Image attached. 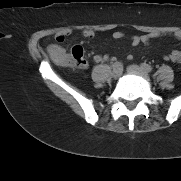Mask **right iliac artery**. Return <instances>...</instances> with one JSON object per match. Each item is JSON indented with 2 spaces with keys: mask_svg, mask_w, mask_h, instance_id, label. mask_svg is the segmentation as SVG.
<instances>
[{
  "mask_svg": "<svg viewBox=\"0 0 181 181\" xmlns=\"http://www.w3.org/2000/svg\"><path fill=\"white\" fill-rule=\"evenodd\" d=\"M120 66H122V63L121 62H115L114 64H113V67L115 68V67H120Z\"/></svg>",
  "mask_w": 181,
  "mask_h": 181,
  "instance_id": "1",
  "label": "right iliac artery"
}]
</instances>
